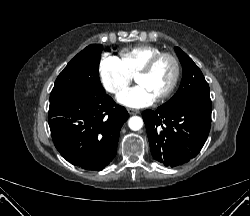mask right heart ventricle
I'll use <instances>...</instances> for the list:
<instances>
[{
  "mask_svg": "<svg viewBox=\"0 0 250 216\" xmlns=\"http://www.w3.org/2000/svg\"><path fill=\"white\" fill-rule=\"evenodd\" d=\"M159 53H161L159 48L143 45L123 50L119 60L132 76H136L147 62Z\"/></svg>",
  "mask_w": 250,
  "mask_h": 216,
  "instance_id": "1",
  "label": "right heart ventricle"
}]
</instances>
